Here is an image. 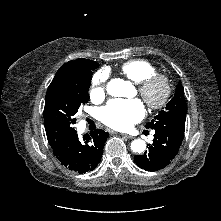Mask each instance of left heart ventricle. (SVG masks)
Segmentation results:
<instances>
[{
  "label": "left heart ventricle",
  "mask_w": 221,
  "mask_h": 221,
  "mask_svg": "<svg viewBox=\"0 0 221 221\" xmlns=\"http://www.w3.org/2000/svg\"><path fill=\"white\" fill-rule=\"evenodd\" d=\"M154 95H155V96H158V95H159V89H156V90H155Z\"/></svg>",
  "instance_id": "obj_1"
}]
</instances>
